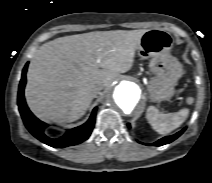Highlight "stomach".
I'll return each instance as SVG.
<instances>
[{"mask_svg": "<svg viewBox=\"0 0 212 183\" xmlns=\"http://www.w3.org/2000/svg\"><path fill=\"white\" fill-rule=\"evenodd\" d=\"M173 38L164 29H149L141 37L137 48L141 59H150L149 67L154 76L150 79L148 92L153 102L170 99L174 87L182 76L181 63L170 54Z\"/></svg>", "mask_w": 212, "mask_h": 183, "instance_id": "0dacf381", "label": "stomach"}]
</instances>
